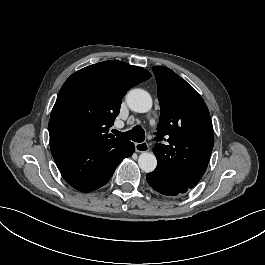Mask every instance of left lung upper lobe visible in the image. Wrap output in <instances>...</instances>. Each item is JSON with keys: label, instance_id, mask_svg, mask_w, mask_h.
Listing matches in <instances>:
<instances>
[{"label": "left lung upper lobe", "instance_id": "1", "mask_svg": "<svg viewBox=\"0 0 265 265\" xmlns=\"http://www.w3.org/2000/svg\"><path fill=\"white\" fill-rule=\"evenodd\" d=\"M160 102L157 168L193 188L204 175L214 145L213 126L206 104L198 92L174 71L154 66Z\"/></svg>", "mask_w": 265, "mask_h": 265}]
</instances>
